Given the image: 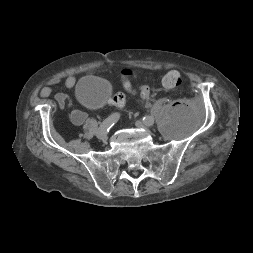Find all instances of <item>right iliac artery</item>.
<instances>
[{"label":"right iliac artery","instance_id":"1","mask_svg":"<svg viewBox=\"0 0 253 253\" xmlns=\"http://www.w3.org/2000/svg\"><path fill=\"white\" fill-rule=\"evenodd\" d=\"M119 118H120L119 113H113L100 124L99 129L108 130L119 120Z\"/></svg>","mask_w":253,"mask_h":253}]
</instances>
